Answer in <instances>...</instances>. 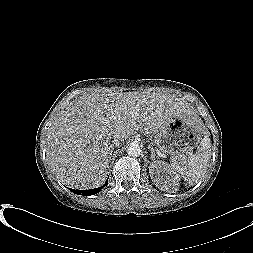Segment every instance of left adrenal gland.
Returning a JSON list of instances; mask_svg holds the SVG:
<instances>
[{
	"label": "left adrenal gland",
	"instance_id": "obj_1",
	"mask_svg": "<svg viewBox=\"0 0 253 253\" xmlns=\"http://www.w3.org/2000/svg\"><path fill=\"white\" fill-rule=\"evenodd\" d=\"M151 152H152L151 158L154 160V151L152 150Z\"/></svg>",
	"mask_w": 253,
	"mask_h": 253
}]
</instances>
